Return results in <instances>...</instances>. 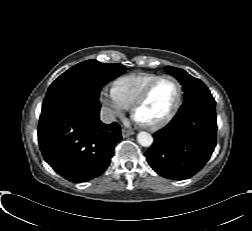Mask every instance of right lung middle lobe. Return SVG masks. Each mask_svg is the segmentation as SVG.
Instances as JSON below:
<instances>
[{"label": "right lung middle lobe", "instance_id": "dd1d6c3e", "mask_svg": "<svg viewBox=\"0 0 252 231\" xmlns=\"http://www.w3.org/2000/svg\"><path fill=\"white\" fill-rule=\"evenodd\" d=\"M125 71L126 68L119 63L83 61L60 75L50 85L42 110L62 102H82L100 107L98 97L101 88Z\"/></svg>", "mask_w": 252, "mask_h": 231}]
</instances>
